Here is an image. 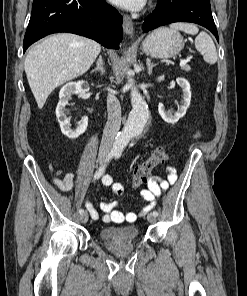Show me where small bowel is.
I'll return each mask as SVG.
<instances>
[{
  "instance_id": "obj_1",
  "label": "small bowel",
  "mask_w": 247,
  "mask_h": 296,
  "mask_svg": "<svg viewBox=\"0 0 247 296\" xmlns=\"http://www.w3.org/2000/svg\"><path fill=\"white\" fill-rule=\"evenodd\" d=\"M168 179L162 180L159 183L155 179H151L148 182V189H143L140 192V197L148 202L143 209V213H147L152 209L155 204V199L161 193V189H167L169 185H172L176 180L175 170L172 167L167 169ZM74 175L71 172L65 174L62 179H57L54 184L62 191H69L73 187ZM101 182L105 186L111 187L113 193L116 196H122L124 193V186L121 183L114 182L110 175H104L101 178ZM86 208L93 220L101 218L104 223L121 224L124 222H134L137 219L135 213H123L118 209L119 203L117 201L101 202L99 208L102 211V216L95 208L93 203L87 198L85 200Z\"/></svg>"
}]
</instances>
